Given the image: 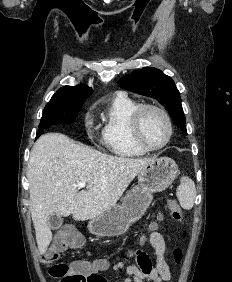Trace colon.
<instances>
[{"label":"colon","instance_id":"obj_1","mask_svg":"<svg viewBox=\"0 0 232 282\" xmlns=\"http://www.w3.org/2000/svg\"><path fill=\"white\" fill-rule=\"evenodd\" d=\"M167 208L172 217L181 222L183 215L178 203L173 199L167 200ZM83 238L71 230L63 231L56 244L44 256V262L49 265V274L58 282H90L97 277V269L94 265L84 260H75L70 264L58 263L60 252L63 249H73L83 245ZM140 250H130L128 257L136 258ZM173 258L176 263L182 260V250L176 248L173 252Z\"/></svg>","mask_w":232,"mask_h":282}]
</instances>
